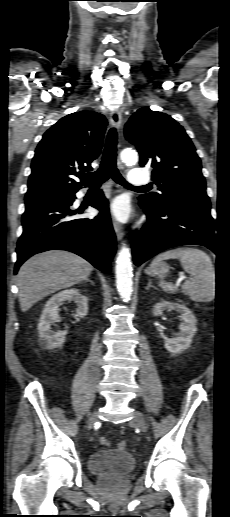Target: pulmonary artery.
<instances>
[{"label": "pulmonary artery", "instance_id": "e3ab8cb5", "mask_svg": "<svg viewBox=\"0 0 230 517\" xmlns=\"http://www.w3.org/2000/svg\"><path fill=\"white\" fill-rule=\"evenodd\" d=\"M128 182L130 185H145L150 182V175L144 169H131Z\"/></svg>", "mask_w": 230, "mask_h": 517}]
</instances>
